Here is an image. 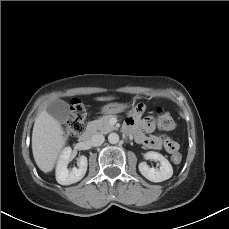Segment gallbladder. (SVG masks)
<instances>
[{
  "mask_svg": "<svg viewBox=\"0 0 229 229\" xmlns=\"http://www.w3.org/2000/svg\"><path fill=\"white\" fill-rule=\"evenodd\" d=\"M47 112L57 121L65 123L70 118V105L63 100L49 102Z\"/></svg>",
  "mask_w": 229,
  "mask_h": 229,
  "instance_id": "obj_1",
  "label": "gallbladder"
}]
</instances>
